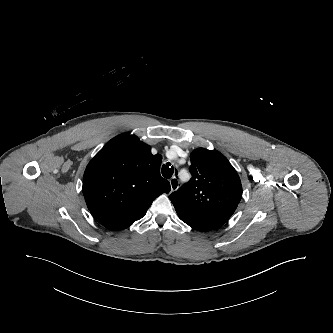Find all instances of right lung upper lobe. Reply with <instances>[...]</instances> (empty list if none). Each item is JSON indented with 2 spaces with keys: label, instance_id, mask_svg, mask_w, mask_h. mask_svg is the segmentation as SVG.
Returning a JSON list of instances; mask_svg holds the SVG:
<instances>
[{
  "label": "right lung upper lobe",
  "instance_id": "right-lung-upper-lobe-1",
  "mask_svg": "<svg viewBox=\"0 0 333 333\" xmlns=\"http://www.w3.org/2000/svg\"><path fill=\"white\" fill-rule=\"evenodd\" d=\"M162 156L135 135L120 134L89 162L83 194L93 217L110 230H122L141 219L152 202L170 191L160 175Z\"/></svg>",
  "mask_w": 333,
  "mask_h": 333
}]
</instances>
